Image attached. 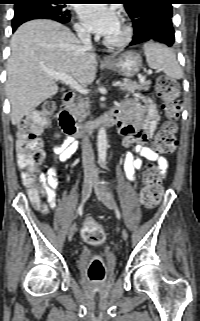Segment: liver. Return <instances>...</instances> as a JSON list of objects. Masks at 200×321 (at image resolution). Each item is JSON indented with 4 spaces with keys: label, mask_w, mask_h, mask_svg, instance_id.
<instances>
[{
    "label": "liver",
    "mask_w": 200,
    "mask_h": 321,
    "mask_svg": "<svg viewBox=\"0 0 200 321\" xmlns=\"http://www.w3.org/2000/svg\"><path fill=\"white\" fill-rule=\"evenodd\" d=\"M97 60L65 26L38 19L21 25L11 38L6 93L11 122L22 118L58 92L56 79L44 70L66 73L86 87L96 76Z\"/></svg>",
    "instance_id": "obj_1"
}]
</instances>
